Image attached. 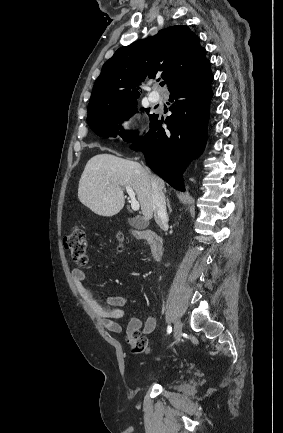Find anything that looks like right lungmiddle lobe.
<instances>
[{
    "instance_id": "dd1d6c3e",
    "label": "right lung middle lobe",
    "mask_w": 283,
    "mask_h": 433,
    "mask_svg": "<svg viewBox=\"0 0 283 433\" xmlns=\"http://www.w3.org/2000/svg\"><path fill=\"white\" fill-rule=\"evenodd\" d=\"M136 104L137 101H134L100 109L88 114L87 123L97 135L116 137L119 134L124 141L135 143L139 138L123 130L118 124L137 112ZM154 116L155 114L149 115L150 121Z\"/></svg>"
}]
</instances>
